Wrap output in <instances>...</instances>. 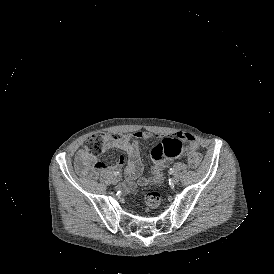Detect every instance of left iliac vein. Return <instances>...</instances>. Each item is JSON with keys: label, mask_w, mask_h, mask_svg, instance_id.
Here are the masks:
<instances>
[{"label": "left iliac vein", "mask_w": 274, "mask_h": 274, "mask_svg": "<svg viewBox=\"0 0 274 274\" xmlns=\"http://www.w3.org/2000/svg\"><path fill=\"white\" fill-rule=\"evenodd\" d=\"M178 182H179V178H178L177 176H174V177L172 178V183H173V184H178Z\"/></svg>", "instance_id": "4c4485c4"}]
</instances>
